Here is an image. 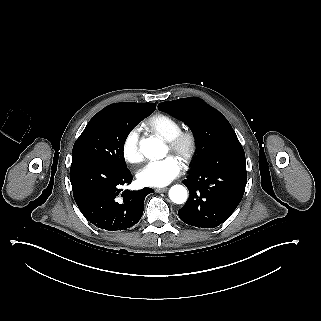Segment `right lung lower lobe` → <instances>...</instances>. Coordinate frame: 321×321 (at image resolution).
Listing matches in <instances>:
<instances>
[{
    "mask_svg": "<svg viewBox=\"0 0 321 321\" xmlns=\"http://www.w3.org/2000/svg\"><path fill=\"white\" fill-rule=\"evenodd\" d=\"M133 179L128 169H115L99 163L75 162L70 181L81 213L98 228L116 231L135 225L142 217L145 197L153 189H119Z\"/></svg>",
    "mask_w": 321,
    "mask_h": 321,
    "instance_id": "right-lung-lower-lobe-1",
    "label": "right lung lower lobe"
}]
</instances>
